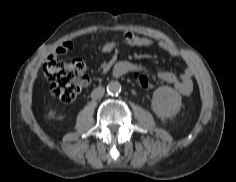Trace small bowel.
I'll use <instances>...</instances> for the list:
<instances>
[{
	"label": "small bowel",
	"instance_id": "c3829d8e",
	"mask_svg": "<svg viewBox=\"0 0 236 182\" xmlns=\"http://www.w3.org/2000/svg\"><path fill=\"white\" fill-rule=\"evenodd\" d=\"M122 45L136 46V47H153L155 43L147 38L136 35L132 32L125 31L123 32L121 40H110L103 44L102 50L106 53L112 52L119 48ZM159 49L164 51L173 57H183L181 51H179L173 43L168 41H160L157 43ZM73 45L70 41H65L61 43L58 48L55 50V55H63L71 51ZM193 77H194V69L191 66H188L185 71L176 75L172 72L168 71H160L158 73V78L174 87V89L183 96H188L193 91Z\"/></svg>",
	"mask_w": 236,
	"mask_h": 182
}]
</instances>
